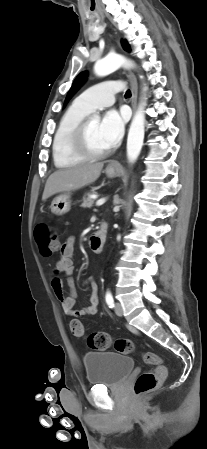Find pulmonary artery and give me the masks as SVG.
I'll list each match as a JSON object with an SVG mask.
<instances>
[{
  "mask_svg": "<svg viewBox=\"0 0 207 449\" xmlns=\"http://www.w3.org/2000/svg\"><path fill=\"white\" fill-rule=\"evenodd\" d=\"M123 88L124 85L121 82L103 81L82 92L75 99V103L89 112L102 109L111 106L115 101V94Z\"/></svg>",
  "mask_w": 207,
  "mask_h": 449,
  "instance_id": "1",
  "label": "pulmonary artery"
}]
</instances>
